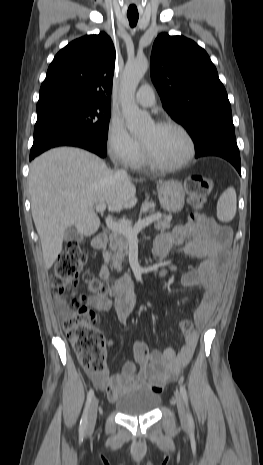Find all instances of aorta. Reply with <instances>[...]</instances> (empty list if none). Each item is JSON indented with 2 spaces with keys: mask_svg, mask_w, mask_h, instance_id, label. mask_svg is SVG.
I'll list each match as a JSON object with an SVG mask.
<instances>
[{
  "mask_svg": "<svg viewBox=\"0 0 263 465\" xmlns=\"http://www.w3.org/2000/svg\"><path fill=\"white\" fill-rule=\"evenodd\" d=\"M147 69L148 60L146 58L128 61L121 81L122 113L126 119L127 128L133 134L142 133L151 123L150 116L138 108L134 98L137 86Z\"/></svg>",
  "mask_w": 263,
  "mask_h": 465,
  "instance_id": "762f6f07",
  "label": "aorta"
}]
</instances>
